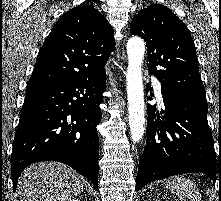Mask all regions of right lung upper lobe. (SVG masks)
I'll return each mask as SVG.
<instances>
[{
	"label": "right lung upper lobe",
	"instance_id": "1",
	"mask_svg": "<svg viewBox=\"0 0 221 201\" xmlns=\"http://www.w3.org/2000/svg\"><path fill=\"white\" fill-rule=\"evenodd\" d=\"M113 28L93 7L64 13L41 47L28 84H58L105 73Z\"/></svg>",
	"mask_w": 221,
	"mask_h": 201
}]
</instances>
